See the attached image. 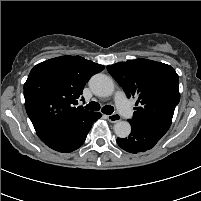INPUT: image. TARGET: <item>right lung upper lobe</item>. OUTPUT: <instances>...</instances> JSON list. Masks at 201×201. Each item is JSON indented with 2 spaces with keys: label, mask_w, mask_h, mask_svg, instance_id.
<instances>
[{
  "label": "right lung upper lobe",
  "mask_w": 201,
  "mask_h": 201,
  "mask_svg": "<svg viewBox=\"0 0 201 201\" xmlns=\"http://www.w3.org/2000/svg\"><path fill=\"white\" fill-rule=\"evenodd\" d=\"M103 69L80 56H61L34 66L24 97L35 130L73 128L89 119L94 112L75 105L90 77Z\"/></svg>",
  "instance_id": "1"
}]
</instances>
